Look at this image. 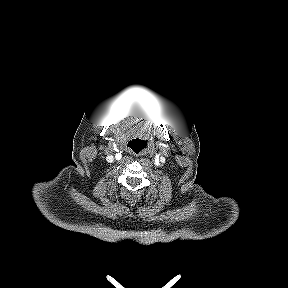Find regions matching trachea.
<instances>
[{
	"label": "trachea",
	"instance_id": "obj_1",
	"mask_svg": "<svg viewBox=\"0 0 288 288\" xmlns=\"http://www.w3.org/2000/svg\"><path fill=\"white\" fill-rule=\"evenodd\" d=\"M127 146L132 153L139 155L147 148V141L134 137L128 142Z\"/></svg>",
	"mask_w": 288,
	"mask_h": 288
}]
</instances>
